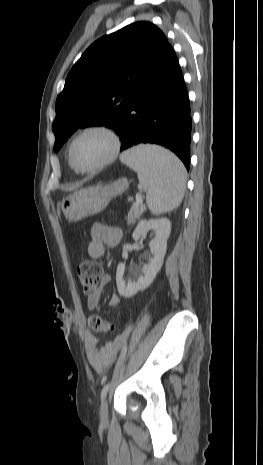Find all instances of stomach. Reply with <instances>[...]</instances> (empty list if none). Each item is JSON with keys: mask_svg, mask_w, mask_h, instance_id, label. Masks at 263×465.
<instances>
[{"mask_svg": "<svg viewBox=\"0 0 263 465\" xmlns=\"http://www.w3.org/2000/svg\"><path fill=\"white\" fill-rule=\"evenodd\" d=\"M129 186L126 178H121L107 186H92L75 191L61 204L65 218L76 222L103 211L111 198L122 194Z\"/></svg>", "mask_w": 263, "mask_h": 465, "instance_id": "0dacf381", "label": "stomach"}]
</instances>
